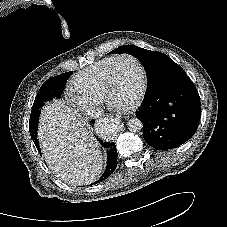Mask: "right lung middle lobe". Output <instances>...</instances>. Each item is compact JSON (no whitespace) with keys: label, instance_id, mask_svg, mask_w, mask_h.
Segmentation results:
<instances>
[{"label":"right lung middle lobe","instance_id":"obj_1","mask_svg":"<svg viewBox=\"0 0 227 227\" xmlns=\"http://www.w3.org/2000/svg\"><path fill=\"white\" fill-rule=\"evenodd\" d=\"M71 75L70 72L63 73L61 75L48 79L39 89L35 101L32 106L30 120H29V132L33 139L37 149L41 152L39 147V141L37 139V127L38 118L40 115V108L46 101H50L53 98H60L64 85Z\"/></svg>","mask_w":227,"mask_h":227}]
</instances>
